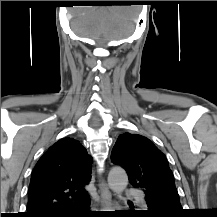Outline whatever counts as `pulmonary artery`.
Masks as SVG:
<instances>
[{"mask_svg":"<svg viewBox=\"0 0 217 217\" xmlns=\"http://www.w3.org/2000/svg\"><path fill=\"white\" fill-rule=\"evenodd\" d=\"M125 193H126V196L137 198L140 203L145 204L143 194L140 191L128 188V189H126Z\"/></svg>","mask_w":217,"mask_h":217,"instance_id":"obj_1","label":"pulmonary artery"}]
</instances>
